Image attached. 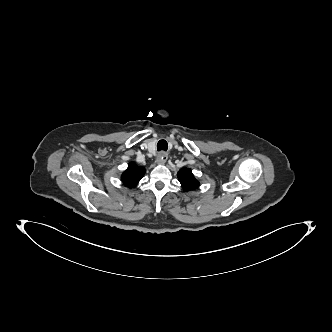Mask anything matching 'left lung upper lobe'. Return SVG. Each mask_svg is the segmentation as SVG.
I'll use <instances>...</instances> for the list:
<instances>
[{"instance_id":"1","label":"left lung upper lobe","mask_w":332,"mask_h":332,"mask_svg":"<svg viewBox=\"0 0 332 332\" xmlns=\"http://www.w3.org/2000/svg\"><path fill=\"white\" fill-rule=\"evenodd\" d=\"M178 179L184 190H194L199 186V182L195 179L189 168H182L178 172Z\"/></svg>"}]
</instances>
